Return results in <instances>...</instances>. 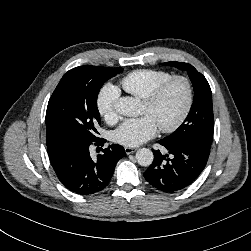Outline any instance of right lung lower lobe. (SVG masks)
<instances>
[{
	"instance_id": "obj_1",
	"label": "right lung lower lobe",
	"mask_w": 251,
	"mask_h": 251,
	"mask_svg": "<svg viewBox=\"0 0 251 251\" xmlns=\"http://www.w3.org/2000/svg\"><path fill=\"white\" fill-rule=\"evenodd\" d=\"M106 140L62 139L48 151L50 163L61 183L80 195L97 193L109 184L119 159L126 156L122 146L112 144L97 158L90 156L91 145L103 146Z\"/></svg>"
}]
</instances>
